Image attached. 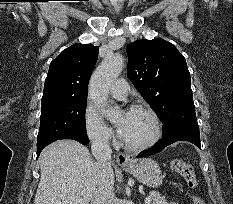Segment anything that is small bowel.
I'll return each mask as SVG.
<instances>
[{
  "instance_id": "1",
  "label": "small bowel",
  "mask_w": 233,
  "mask_h": 204,
  "mask_svg": "<svg viewBox=\"0 0 233 204\" xmlns=\"http://www.w3.org/2000/svg\"><path fill=\"white\" fill-rule=\"evenodd\" d=\"M169 204H178V203H169Z\"/></svg>"
}]
</instances>
